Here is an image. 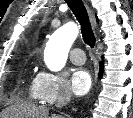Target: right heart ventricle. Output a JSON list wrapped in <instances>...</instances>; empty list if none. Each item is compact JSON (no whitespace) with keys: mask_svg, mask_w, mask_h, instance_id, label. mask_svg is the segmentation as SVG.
<instances>
[{"mask_svg":"<svg viewBox=\"0 0 133 118\" xmlns=\"http://www.w3.org/2000/svg\"><path fill=\"white\" fill-rule=\"evenodd\" d=\"M28 93L31 98V100L39 99L36 91V85H35V79L32 80L28 87Z\"/></svg>","mask_w":133,"mask_h":118,"instance_id":"1","label":"right heart ventricle"}]
</instances>
